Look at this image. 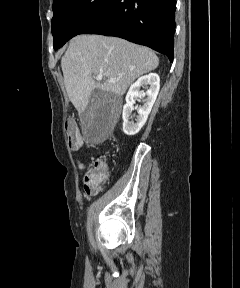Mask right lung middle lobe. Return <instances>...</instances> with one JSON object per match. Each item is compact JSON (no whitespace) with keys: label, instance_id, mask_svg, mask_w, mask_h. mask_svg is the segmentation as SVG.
<instances>
[{"label":"right lung middle lobe","instance_id":"obj_1","mask_svg":"<svg viewBox=\"0 0 240 288\" xmlns=\"http://www.w3.org/2000/svg\"><path fill=\"white\" fill-rule=\"evenodd\" d=\"M112 0H54V48L63 46L94 20Z\"/></svg>","mask_w":240,"mask_h":288}]
</instances>
